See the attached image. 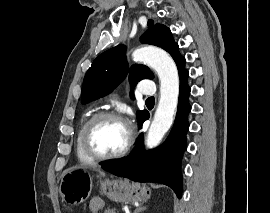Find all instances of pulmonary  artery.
<instances>
[{
  "label": "pulmonary artery",
  "instance_id": "e3ab8cb5",
  "mask_svg": "<svg viewBox=\"0 0 270 213\" xmlns=\"http://www.w3.org/2000/svg\"><path fill=\"white\" fill-rule=\"evenodd\" d=\"M139 91L142 95L152 96L156 93V86L152 81H142L139 83Z\"/></svg>",
  "mask_w": 270,
  "mask_h": 213
}]
</instances>
